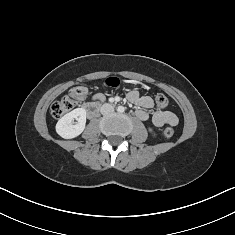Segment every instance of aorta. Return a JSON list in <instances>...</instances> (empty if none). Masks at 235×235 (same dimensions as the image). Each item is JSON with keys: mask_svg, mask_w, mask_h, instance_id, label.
<instances>
[{"mask_svg": "<svg viewBox=\"0 0 235 235\" xmlns=\"http://www.w3.org/2000/svg\"><path fill=\"white\" fill-rule=\"evenodd\" d=\"M118 112H124V107L119 106V107H118Z\"/></svg>", "mask_w": 235, "mask_h": 235, "instance_id": "aorta-1", "label": "aorta"}]
</instances>
